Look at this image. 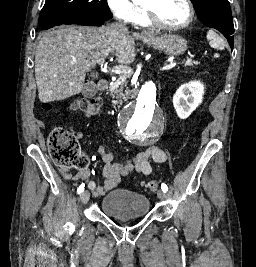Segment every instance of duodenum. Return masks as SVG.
Returning a JSON list of instances; mask_svg holds the SVG:
<instances>
[{"label": "duodenum", "mask_w": 256, "mask_h": 267, "mask_svg": "<svg viewBox=\"0 0 256 267\" xmlns=\"http://www.w3.org/2000/svg\"><path fill=\"white\" fill-rule=\"evenodd\" d=\"M108 85H109V81L106 78H102L98 82V88L101 91H105L107 89ZM139 93H140V90L139 89H134L133 90V94L131 96H127L126 97V100L127 101H134L135 98H138V95H135V94H139Z\"/></svg>", "instance_id": "410a0bca"}]
</instances>
